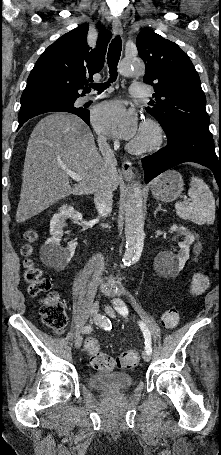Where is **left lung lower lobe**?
Masks as SVG:
<instances>
[{
    "label": "left lung lower lobe",
    "mask_w": 221,
    "mask_h": 455,
    "mask_svg": "<svg viewBox=\"0 0 221 455\" xmlns=\"http://www.w3.org/2000/svg\"><path fill=\"white\" fill-rule=\"evenodd\" d=\"M184 162H196L211 169L221 189V154L216 155L209 130L193 126L181 128L168 137L166 147L143 158L145 182Z\"/></svg>",
    "instance_id": "1"
}]
</instances>
